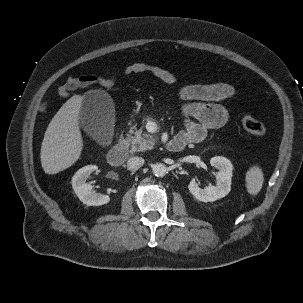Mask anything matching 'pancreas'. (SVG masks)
<instances>
[{
	"label": "pancreas",
	"instance_id": "pancreas-1",
	"mask_svg": "<svg viewBox=\"0 0 303 303\" xmlns=\"http://www.w3.org/2000/svg\"><path fill=\"white\" fill-rule=\"evenodd\" d=\"M156 140V137L143 133L142 128L137 129L136 126L130 129L126 137V142L131 146V153L152 149Z\"/></svg>",
	"mask_w": 303,
	"mask_h": 303
}]
</instances>
